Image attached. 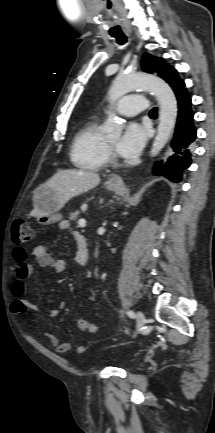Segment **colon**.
<instances>
[{"mask_svg":"<svg viewBox=\"0 0 215 433\" xmlns=\"http://www.w3.org/2000/svg\"><path fill=\"white\" fill-rule=\"evenodd\" d=\"M34 232L32 227L23 220L16 221L12 228V238L16 245H24L32 241ZM77 326L81 331L96 332L97 326L85 318L77 319Z\"/></svg>","mask_w":215,"mask_h":433,"instance_id":"obj_1","label":"colon"}]
</instances>
